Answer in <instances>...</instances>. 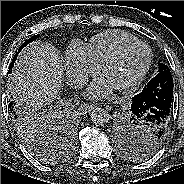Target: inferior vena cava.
<instances>
[{"mask_svg":"<svg viewBox=\"0 0 184 184\" xmlns=\"http://www.w3.org/2000/svg\"><path fill=\"white\" fill-rule=\"evenodd\" d=\"M88 79L85 76H74L69 80V83L74 88H80L87 83Z\"/></svg>","mask_w":184,"mask_h":184,"instance_id":"602c4592","label":"inferior vena cava"}]
</instances>
